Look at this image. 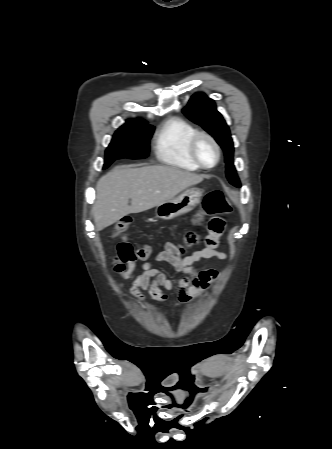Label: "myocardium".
I'll return each mask as SVG.
<instances>
[{"label": "myocardium", "instance_id": "obj_1", "mask_svg": "<svg viewBox=\"0 0 332 449\" xmlns=\"http://www.w3.org/2000/svg\"><path fill=\"white\" fill-rule=\"evenodd\" d=\"M201 139L208 140L212 144L214 149H215L216 159H215V161H214V163L212 165L204 164L201 161V159L199 158V156H198L197 145H198V143H199V141ZM188 150H189L190 156L193 159V161L202 169H212V168H214L215 166H217V164L219 163L220 158H221V149H220V146H219L218 142L216 141V139L211 134H209L206 131H196L192 135V137H191V139L189 141Z\"/></svg>", "mask_w": 332, "mask_h": 449}]
</instances>
